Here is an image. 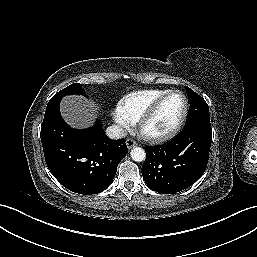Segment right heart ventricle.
Here are the masks:
<instances>
[{
	"mask_svg": "<svg viewBox=\"0 0 257 257\" xmlns=\"http://www.w3.org/2000/svg\"><path fill=\"white\" fill-rule=\"evenodd\" d=\"M168 89L139 90L127 94L119 101V107L134 123L158 98L166 94Z\"/></svg>",
	"mask_w": 257,
	"mask_h": 257,
	"instance_id": "1",
	"label": "right heart ventricle"
}]
</instances>
